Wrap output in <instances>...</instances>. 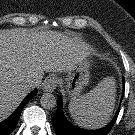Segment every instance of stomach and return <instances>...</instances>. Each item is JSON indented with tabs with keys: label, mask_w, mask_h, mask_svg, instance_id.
Instances as JSON below:
<instances>
[{
	"label": "stomach",
	"mask_w": 135,
	"mask_h": 135,
	"mask_svg": "<svg viewBox=\"0 0 135 135\" xmlns=\"http://www.w3.org/2000/svg\"><path fill=\"white\" fill-rule=\"evenodd\" d=\"M92 60L89 55L76 62L66 73L65 77L60 79L66 88V93L71 100L80 97L82 90L89 84L90 68Z\"/></svg>",
	"instance_id": "0dacf381"
}]
</instances>
